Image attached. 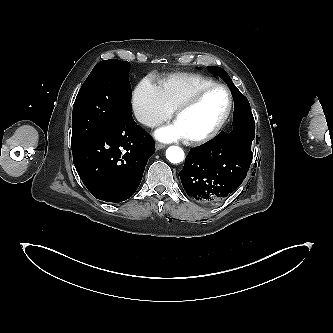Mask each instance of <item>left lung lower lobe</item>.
Segmentation results:
<instances>
[{
	"label": "left lung lower lobe",
	"instance_id": "0a47b994",
	"mask_svg": "<svg viewBox=\"0 0 333 333\" xmlns=\"http://www.w3.org/2000/svg\"><path fill=\"white\" fill-rule=\"evenodd\" d=\"M250 144L246 134L233 130L191 150L180 172L186 193L205 204L227 198L246 178L253 157Z\"/></svg>",
	"mask_w": 333,
	"mask_h": 333
}]
</instances>
